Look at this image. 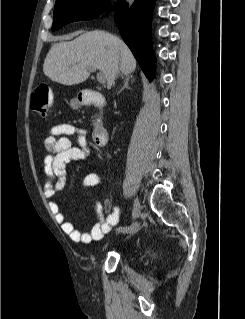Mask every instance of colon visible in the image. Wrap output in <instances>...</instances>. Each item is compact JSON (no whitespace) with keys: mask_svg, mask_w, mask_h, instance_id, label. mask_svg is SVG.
I'll use <instances>...</instances> for the list:
<instances>
[{"mask_svg":"<svg viewBox=\"0 0 245 319\" xmlns=\"http://www.w3.org/2000/svg\"><path fill=\"white\" fill-rule=\"evenodd\" d=\"M53 101V91L47 84L39 85L31 96L32 112L39 117H45Z\"/></svg>","mask_w":245,"mask_h":319,"instance_id":"5ec220e1","label":"colon"}]
</instances>
